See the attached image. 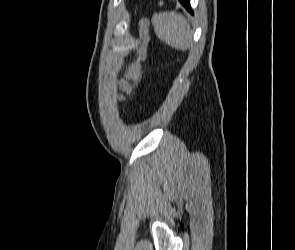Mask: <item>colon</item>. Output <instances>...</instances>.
Instances as JSON below:
<instances>
[{
    "mask_svg": "<svg viewBox=\"0 0 295 250\" xmlns=\"http://www.w3.org/2000/svg\"><path fill=\"white\" fill-rule=\"evenodd\" d=\"M140 31L142 35V43L135 55L134 60L129 64L126 70V77L129 80L140 82L139 66L140 62L144 59L146 53V42H147V22L142 21L140 25Z\"/></svg>",
    "mask_w": 295,
    "mask_h": 250,
    "instance_id": "5ec220e1",
    "label": "colon"
}]
</instances>
